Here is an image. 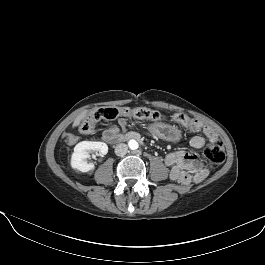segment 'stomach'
<instances>
[{
  "instance_id": "stomach-1",
  "label": "stomach",
  "mask_w": 265,
  "mask_h": 265,
  "mask_svg": "<svg viewBox=\"0 0 265 265\" xmlns=\"http://www.w3.org/2000/svg\"><path fill=\"white\" fill-rule=\"evenodd\" d=\"M148 130L155 137L167 142H178L181 139V132L177 128L164 123H152Z\"/></svg>"
}]
</instances>
